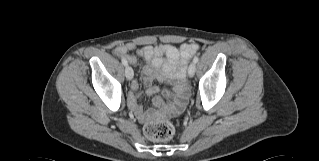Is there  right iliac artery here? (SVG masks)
I'll return each instance as SVG.
<instances>
[{"label":"right iliac artery","instance_id":"1","mask_svg":"<svg viewBox=\"0 0 319 161\" xmlns=\"http://www.w3.org/2000/svg\"><path fill=\"white\" fill-rule=\"evenodd\" d=\"M121 61H122V64H123L124 66H127V65H128V63H127V61H126L125 59H122Z\"/></svg>","mask_w":319,"mask_h":161}]
</instances>
